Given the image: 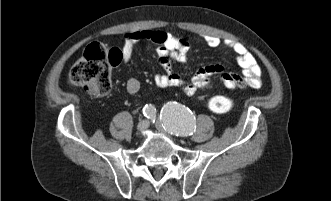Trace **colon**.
Returning a JSON list of instances; mask_svg holds the SVG:
<instances>
[{"label":"colon","instance_id":"colon-1","mask_svg":"<svg viewBox=\"0 0 331 201\" xmlns=\"http://www.w3.org/2000/svg\"><path fill=\"white\" fill-rule=\"evenodd\" d=\"M120 60V50L106 49L98 43H92L70 70L68 82L91 95L106 96L111 91V66ZM207 106L213 113L222 114L231 111L235 101L228 96H214L208 100Z\"/></svg>","mask_w":331,"mask_h":201}]
</instances>
